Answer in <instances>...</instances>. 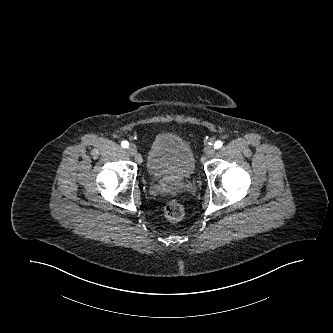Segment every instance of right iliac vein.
<instances>
[{"instance_id": "obj_1", "label": "right iliac vein", "mask_w": 333, "mask_h": 333, "mask_svg": "<svg viewBox=\"0 0 333 333\" xmlns=\"http://www.w3.org/2000/svg\"><path fill=\"white\" fill-rule=\"evenodd\" d=\"M127 152L131 155L134 156L137 153V148L134 144H131L128 148H127Z\"/></svg>"}]
</instances>
